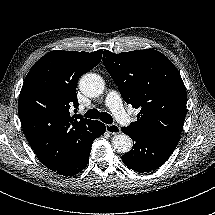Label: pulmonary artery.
<instances>
[{
  "label": "pulmonary artery",
  "instance_id": "e3ab8cb5",
  "mask_svg": "<svg viewBox=\"0 0 215 215\" xmlns=\"http://www.w3.org/2000/svg\"><path fill=\"white\" fill-rule=\"evenodd\" d=\"M107 105L111 108V112L114 115H118L116 118L117 125L122 129L129 128L133 123L135 113L124 112V105L121 103L119 95L115 91H111L106 98Z\"/></svg>",
  "mask_w": 215,
  "mask_h": 215
}]
</instances>
